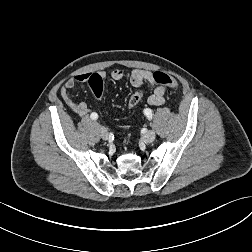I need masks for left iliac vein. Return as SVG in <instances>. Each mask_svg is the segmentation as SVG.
I'll return each instance as SVG.
<instances>
[{
  "label": "left iliac vein",
  "instance_id": "4c4485c4",
  "mask_svg": "<svg viewBox=\"0 0 252 252\" xmlns=\"http://www.w3.org/2000/svg\"><path fill=\"white\" fill-rule=\"evenodd\" d=\"M156 134L153 130L147 131L143 136V141L145 143H152L155 140Z\"/></svg>",
  "mask_w": 252,
  "mask_h": 252
}]
</instances>
